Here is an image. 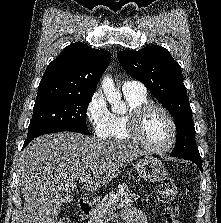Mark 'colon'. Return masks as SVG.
I'll use <instances>...</instances> for the list:
<instances>
[{
	"mask_svg": "<svg viewBox=\"0 0 221 223\" xmlns=\"http://www.w3.org/2000/svg\"><path fill=\"white\" fill-rule=\"evenodd\" d=\"M177 196V187L172 179L166 177L162 179L159 186V198L165 204L163 216L165 223H180L179 211L176 206L172 205L173 200ZM57 223H70V219L62 216Z\"/></svg>",
	"mask_w": 221,
	"mask_h": 223,
	"instance_id": "colon-1",
	"label": "colon"
}]
</instances>
